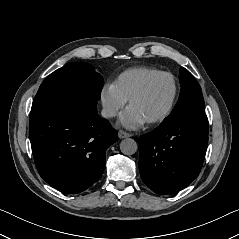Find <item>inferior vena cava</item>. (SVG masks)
<instances>
[{
	"label": "inferior vena cava",
	"instance_id": "obj_1",
	"mask_svg": "<svg viewBox=\"0 0 239 239\" xmlns=\"http://www.w3.org/2000/svg\"><path fill=\"white\" fill-rule=\"evenodd\" d=\"M101 114L105 118H111L116 115V111L111 107H104L101 111Z\"/></svg>",
	"mask_w": 239,
	"mask_h": 239
}]
</instances>
